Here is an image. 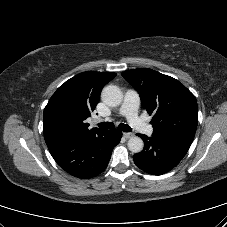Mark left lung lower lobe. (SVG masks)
Masks as SVG:
<instances>
[{
	"mask_svg": "<svg viewBox=\"0 0 227 227\" xmlns=\"http://www.w3.org/2000/svg\"><path fill=\"white\" fill-rule=\"evenodd\" d=\"M144 141V149L134 155V163L153 175L164 174L173 169L187 153L191 142L159 134H137Z\"/></svg>",
	"mask_w": 227,
	"mask_h": 227,
	"instance_id": "0a47b994",
	"label": "left lung lower lobe"
}]
</instances>
